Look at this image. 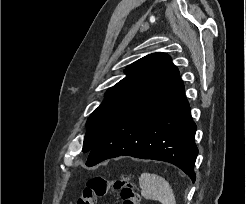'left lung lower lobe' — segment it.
Masks as SVG:
<instances>
[{
    "label": "left lung lower lobe",
    "mask_w": 246,
    "mask_h": 204,
    "mask_svg": "<svg viewBox=\"0 0 246 204\" xmlns=\"http://www.w3.org/2000/svg\"><path fill=\"white\" fill-rule=\"evenodd\" d=\"M195 132L178 76L110 126L89 151L86 165L120 155L154 159L176 165L195 182Z\"/></svg>",
    "instance_id": "left-lung-lower-lobe-1"
}]
</instances>
